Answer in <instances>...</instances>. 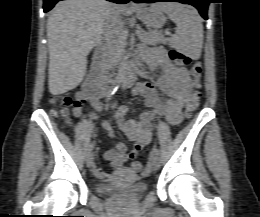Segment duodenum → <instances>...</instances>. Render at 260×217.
I'll use <instances>...</instances> for the list:
<instances>
[{
  "label": "duodenum",
  "mask_w": 260,
  "mask_h": 217,
  "mask_svg": "<svg viewBox=\"0 0 260 217\" xmlns=\"http://www.w3.org/2000/svg\"><path fill=\"white\" fill-rule=\"evenodd\" d=\"M101 47H98L100 49ZM136 66H133V69L127 71L126 73L120 75V79L126 85H132L136 82ZM102 65L97 62L94 68L91 69L89 75L85 79L82 85V92L85 95H92L95 93H105L107 88V82L104 79L99 78L102 74ZM115 82H121L120 80H116Z\"/></svg>",
  "instance_id": "obj_1"
}]
</instances>
